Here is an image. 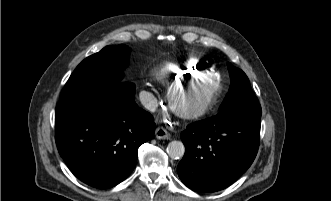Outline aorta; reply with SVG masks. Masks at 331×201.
Listing matches in <instances>:
<instances>
[{
	"mask_svg": "<svg viewBox=\"0 0 331 201\" xmlns=\"http://www.w3.org/2000/svg\"><path fill=\"white\" fill-rule=\"evenodd\" d=\"M167 153L172 159H179L184 156L185 147L181 141H171L167 146Z\"/></svg>",
	"mask_w": 331,
	"mask_h": 201,
	"instance_id": "1",
	"label": "aorta"
}]
</instances>
